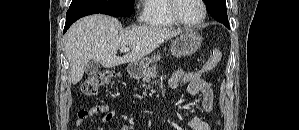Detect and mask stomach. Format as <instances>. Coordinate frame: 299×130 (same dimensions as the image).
Here are the masks:
<instances>
[{"mask_svg":"<svg viewBox=\"0 0 299 130\" xmlns=\"http://www.w3.org/2000/svg\"><path fill=\"white\" fill-rule=\"evenodd\" d=\"M203 41L202 36L195 30H187L172 41L170 53L175 57H185L194 54L201 46ZM160 60L158 54L151 57H145L138 61L131 62L127 70L132 74H141L150 64Z\"/></svg>","mask_w":299,"mask_h":130,"instance_id":"1","label":"stomach"}]
</instances>
